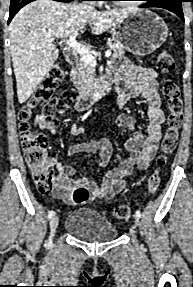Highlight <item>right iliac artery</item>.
Instances as JSON below:
<instances>
[{"mask_svg":"<svg viewBox=\"0 0 193 287\" xmlns=\"http://www.w3.org/2000/svg\"><path fill=\"white\" fill-rule=\"evenodd\" d=\"M53 215H54V210H50L48 214V219H51Z\"/></svg>","mask_w":193,"mask_h":287,"instance_id":"right-iliac-artery-1","label":"right iliac artery"}]
</instances>
